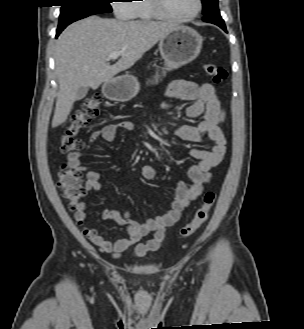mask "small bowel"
I'll use <instances>...</instances> for the list:
<instances>
[{"instance_id":"obj_1","label":"small bowel","mask_w":304,"mask_h":329,"mask_svg":"<svg viewBox=\"0 0 304 329\" xmlns=\"http://www.w3.org/2000/svg\"><path fill=\"white\" fill-rule=\"evenodd\" d=\"M167 100L162 103L161 109L166 111L173 101H191L192 104L186 109L189 118L202 116L198 125H179L174 128L173 134L180 140L199 143L212 142L209 150L192 149L191 156L196 159L197 164L190 167L188 176L191 185L178 184L174 200L169 210L161 215L149 219L143 223L136 222L130 218L129 212L119 210H104V220L115 221L126 230L127 237L115 241L106 240L100 228H92L85 224L87 220L86 205L80 202L74 210V218L77 224L82 226L83 234L96 245L102 252L110 253L114 258L132 248L131 254L135 258L144 257L146 254L157 251L165 238V230L178 221L183 210L197 199L203 191V186L211 178V170L221 163L226 153V139L223 133V123L226 112L218 99L215 88L209 83L197 84L195 82L180 80L172 83L166 92ZM134 124L126 120H118L107 123L101 129L92 133L89 144L97 139L111 142L118 130H133ZM69 164L86 175V189L98 191L101 189L100 174L88 170L82 163V154L72 152L68 156ZM141 176L146 180H152L156 176V170L151 165H144L140 169ZM153 233V238L147 242H140L141 238Z\"/></svg>"}]
</instances>
